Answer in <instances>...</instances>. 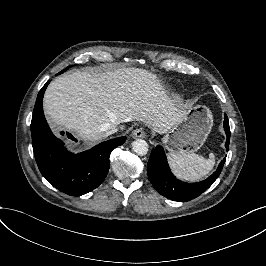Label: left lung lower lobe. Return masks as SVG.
Segmentation results:
<instances>
[{
	"mask_svg": "<svg viewBox=\"0 0 266 266\" xmlns=\"http://www.w3.org/2000/svg\"><path fill=\"white\" fill-rule=\"evenodd\" d=\"M224 130L227 140L225 147L228 150L230 141V128L228 117L224 116ZM226 157L220 162L217 170L206 180L196 183H186L175 178L170 171L164 150L157 146L151 151L147 165L148 177L154 188L163 196L175 201H190L207 190L220 175Z\"/></svg>",
	"mask_w": 266,
	"mask_h": 266,
	"instance_id": "1",
	"label": "left lung lower lobe"
}]
</instances>
